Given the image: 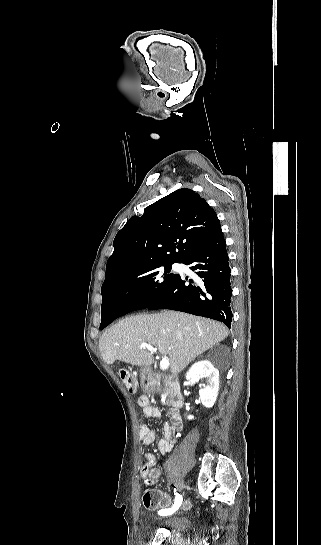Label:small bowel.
Wrapping results in <instances>:
<instances>
[{"mask_svg":"<svg viewBox=\"0 0 321 545\" xmlns=\"http://www.w3.org/2000/svg\"><path fill=\"white\" fill-rule=\"evenodd\" d=\"M137 402L146 417L157 418L161 416L160 410L150 404L149 398L146 395L139 396ZM177 432L178 428L169 424L163 427L162 438L158 441V450L161 454H166L172 450ZM139 438L143 445H150L155 441L156 432L146 424H142L139 428ZM144 458L146 462L141 471L142 479L155 483L160 477V471L155 467L156 457L152 453L146 452L144 453Z\"/></svg>","mask_w":321,"mask_h":545,"instance_id":"small-bowel-1","label":"small bowel"}]
</instances>
